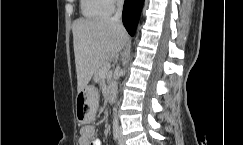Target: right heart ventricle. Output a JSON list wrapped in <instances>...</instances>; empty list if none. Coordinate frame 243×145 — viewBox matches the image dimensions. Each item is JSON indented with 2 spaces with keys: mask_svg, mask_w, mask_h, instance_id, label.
I'll return each mask as SVG.
<instances>
[{
  "mask_svg": "<svg viewBox=\"0 0 243 145\" xmlns=\"http://www.w3.org/2000/svg\"><path fill=\"white\" fill-rule=\"evenodd\" d=\"M80 6L82 14L88 18L107 16L112 10L105 0H81Z\"/></svg>",
  "mask_w": 243,
  "mask_h": 145,
  "instance_id": "1",
  "label": "right heart ventricle"
}]
</instances>
